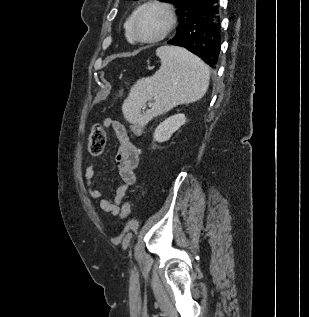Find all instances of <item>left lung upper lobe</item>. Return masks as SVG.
<instances>
[{
    "mask_svg": "<svg viewBox=\"0 0 309 317\" xmlns=\"http://www.w3.org/2000/svg\"><path fill=\"white\" fill-rule=\"evenodd\" d=\"M175 4L176 13L179 16L180 25L178 31L182 30L190 15L207 0H161Z\"/></svg>",
    "mask_w": 309,
    "mask_h": 317,
    "instance_id": "obj_1",
    "label": "left lung upper lobe"
}]
</instances>
